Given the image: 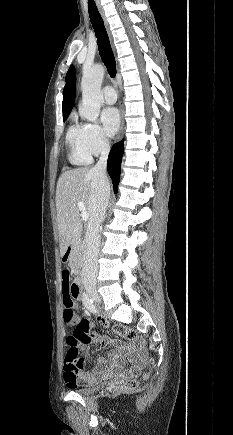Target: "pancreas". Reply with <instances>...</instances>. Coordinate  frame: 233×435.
<instances>
[{"mask_svg": "<svg viewBox=\"0 0 233 435\" xmlns=\"http://www.w3.org/2000/svg\"><path fill=\"white\" fill-rule=\"evenodd\" d=\"M84 262V247L81 244H77L70 255L69 266L78 273Z\"/></svg>", "mask_w": 233, "mask_h": 435, "instance_id": "pancreas-1", "label": "pancreas"}]
</instances>
